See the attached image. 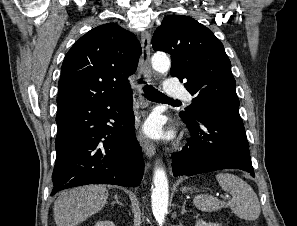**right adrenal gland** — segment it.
I'll use <instances>...</instances> for the list:
<instances>
[{"instance_id": "2a0ac1e0", "label": "right adrenal gland", "mask_w": 297, "mask_h": 226, "mask_svg": "<svg viewBox=\"0 0 297 226\" xmlns=\"http://www.w3.org/2000/svg\"><path fill=\"white\" fill-rule=\"evenodd\" d=\"M114 199H115V201L114 202H112V205H114L115 203H117V204H119V205H121V206H123V204L119 201V199H118V196L117 195H115L114 196Z\"/></svg>"}]
</instances>
